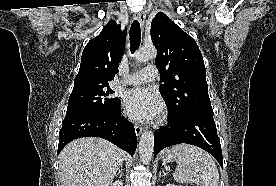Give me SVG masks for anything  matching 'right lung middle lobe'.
Wrapping results in <instances>:
<instances>
[{
  "mask_svg": "<svg viewBox=\"0 0 276 186\" xmlns=\"http://www.w3.org/2000/svg\"><path fill=\"white\" fill-rule=\"evenodd\" d=\"M113 93L109 85L74 87L66 116L82 112L109 113L120 103L119 98L111 96Z\"/></svg>",
  "mask_w": 276,
  "mask_h": 186,
  "instance_id": "right-lung-middle-lobe-1",
  "label": "right lung middle lobe"
}]
</instances>
